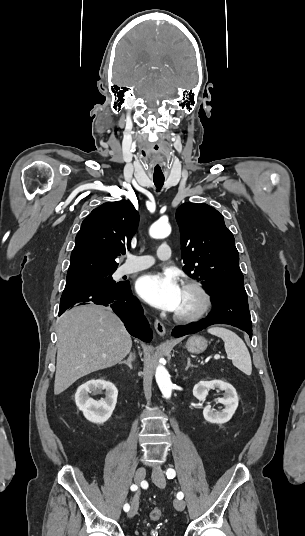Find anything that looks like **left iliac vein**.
<instances>
[{"label": "left iliac vein", "instance_id": "1", "mask_svg": "<svg viewBox=\"0 0 305 536\" xmlns=\"http://www.w3.org/2000/svg\"><path fill=\"white\" fill-rule=\"evenodd\" d=\"M152 479L154 483L156 484V486H158L159 488L165 487L166 481H165L164 473L161 469L158 468L153 471ZM174 506L177 510L181 511L185 508V502L182 499H176L174 501Z\"/></svg>", "mask_w": 305, "mask_h": 536}]
</instances>
